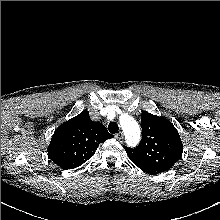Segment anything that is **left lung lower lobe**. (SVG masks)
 Returning <instances> with one entry per match:
<instances>
[{"mask_svg": "<svg viewBox=\"0 0 220 220\" xmlns=\"http://www.w3.org/2000/svg\"><path fill=\"white\" fill-rule=\"evenodd\" d=\"M140 168V167H139ZM140 169H142L143 171H145L143 168H140ZM145 172H147V171H145ZM148 173V172H147Z\"/></svg>", "mask_w": 220, "mask_h": 220, "instance_id": "1", "label": "left lung lower lobe"}]
</instances>
